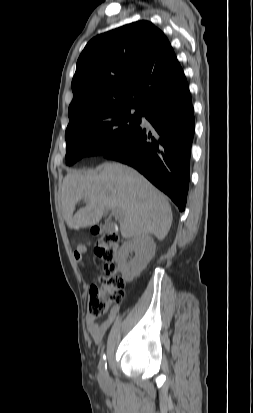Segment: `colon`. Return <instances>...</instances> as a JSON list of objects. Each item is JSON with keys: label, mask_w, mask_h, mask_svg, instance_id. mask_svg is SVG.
Instances as JSON below:
<instances>
[{"label": "colon", "mask_w": 253, "mask_h": 413, "mask_svg": "<svg viewBox=\"0 0 253 413\" xmlns=\"http://www.w3.org/2000/svg\"><path fill=\"white\" fill-rule=\"evenodd\" d=\"M92 233L97 236L94 252L104 263L103 274L98 284L89 289L88 315L99 318L107 313L113 304L120 303L124 298V281L117 275L114 257L118 249V235L103 232L99 227H93Z\"/></svg>", "instance_id": "colon-1"}]
</instances>
